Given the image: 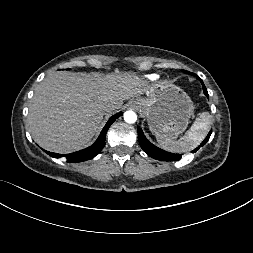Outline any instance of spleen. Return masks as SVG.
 Wrapping results in <instances>:
<instances>
[{"label":"spleen","instance_id":"obj_1","mask_svg":"<svg viewBox=\"0 0 253 253\" xmlns=\"http://www.w3.org/2000/svg\"><path fill=\"white\" fill-rule=\"evenodd\" d=\"M211 122L208 112L201 113L191 128L179 140L156 136L159 145L170 152L183 153L196 148L206 137Z\"/></svg>","mask_w":253,"mask_h":253}]
</instances>
